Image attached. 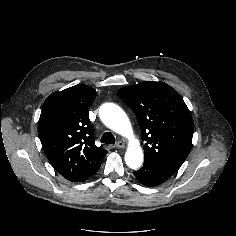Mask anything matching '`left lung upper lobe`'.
Returning <instances> with one entry per match:
<instances>
[{
	"instance_id": "1",
	"label": "left lung upper lobe",
	"mask_w": 236,
	"mask_h": 236,
	"mask_svg": "<svg viewBox=\"0 0 236 236\" xmlns=\"http://www.w3.org/2000/svg\"><path fill=\"white\" fill-rule=\"evenodd\" d=\"M119 97L135 113L141 127L145 161L174 174L187 158L193 118L182 97L169 85L145 81L119 89Z\"/></svg>"
}]
</instances>
